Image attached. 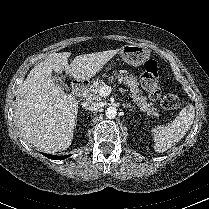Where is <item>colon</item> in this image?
I'll list each match as a JSON object with an SVG mask.
<instances>
[{"mask_svg":"<svg viewBox=\"0 0 209 209\" xmlns=\"http://www.w3.org/2000/svg\"><path fill=\"white\" fill-rule=\"evenodd\" d=\"M141 83L153 100L160 101L163 108L177 110L182 106L180 99L173 94H163L159 84V72L157 62L149 59L144 64V72Z\"/></svg>","mask_w":209,"mask_h":209,"instance_id":"obj_1","label":"colon"}]
</instances>
